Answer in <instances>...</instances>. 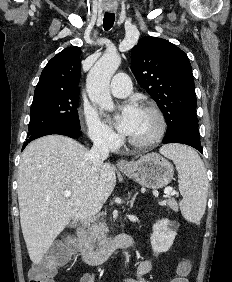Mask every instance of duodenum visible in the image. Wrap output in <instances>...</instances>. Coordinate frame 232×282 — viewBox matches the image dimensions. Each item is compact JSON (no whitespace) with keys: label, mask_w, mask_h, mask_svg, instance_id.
<instances>
[{"label":"duodenum","mask_w":232,"mask_h":282,"mask_svg":"<svg viewBox=\"0 0 232 282\" xmlns=\"http://www.w3.org/2000/svg\"><path fill=\"white\" fill-rule=\"evenodd\" d=\"M133 245V239L129 235H119L100 248H94L87 238L84 228L77 230V247L83 261L96 266L104 263L120 248H128Z\"/></svg>","instance_id":"duodenum-1"}]
</instances>
